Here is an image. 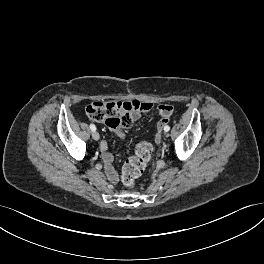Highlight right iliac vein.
Segmentation results:
<instances>
[{
	"label": "right iliac vein",
	"instance_id": "63e3f726",
	"mask_svg": "<svg viewBox=\"0 0 264 264\" xmlns=\"http://www.w3.org/2000/svg\"><path fill=\"white\" fill-rule=\"evenodd\" d=\"M92 138L94 139V140H99L100 139V135H99V133L97 132V131H93L92 132Z\"/></svg>",
	"mask_w": 264,
	"mask_h": 264
}]
</instances>
